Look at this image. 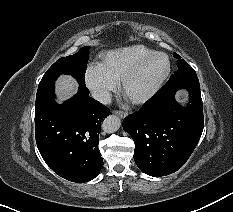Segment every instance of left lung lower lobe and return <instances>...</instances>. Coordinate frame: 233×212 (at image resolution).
I'll return each mask as SVG.
<instances>
[{
  "label": "left lung lower lobe",
  "mask_w": 233,
  "mask_h": 212,
  "mask_svg": "<svg viewBox=\"0 0 233 212\" xmlns=\"http://www.w3.org/2000/svg\"><path fill=\"white\" fill-rule=\"evenodd\" d=\"M179 89L189 92V103L175 100ZM204 126L196 74L167 82L142 109L127 116L123 129L135 142L134 160L146 174L165 176L181 168L195 149Z\"/></svg>",
  "instance_id": "obj_1"
}]
</instances>
